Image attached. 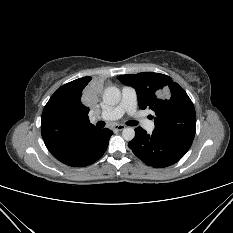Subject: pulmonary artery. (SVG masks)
<instances>
[{
	"instance_id": "e3ab8cb5",
	"label": "pulmonary artery",
	"mask_w": 233,
	"mask_h": 233,
	"mask_svg": "<svg viewBox=\"0 0 233 233\" xmlns=\"http://www.w3.org/2000/svg\"><path fill=\"white\" fill-rule=\"evenodd\" d=\"M125 113L135 118L139 117L137 113V94L135 89L129 86H124L122 88V98L117 106L102 112L96 118L105 121H115L121 118ZM141 123L148 131L153 130L155 127L154 122L147 119L141 120Z\"/></svg>"
}]
</instances>
